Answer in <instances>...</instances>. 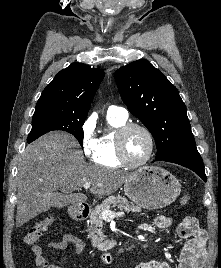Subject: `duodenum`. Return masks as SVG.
<instances>
[{"label": "duodenum", "mask_w": 221, "mask_h": 268, "mask_svg": "<svg viewBox=\"0 0 221 268\" xmlns=\"http://www.w3.org/2000/svg\"><path fill=\"white\" fill-rule=\"evenodd\" d=\"M89 215V208L87 206H74L70 209V216L76 221H82ZM116 260V257L111 253H104L102 255V261L106 264H110Z\"/></svg>", "instance_id": "1"}]
</instances>
